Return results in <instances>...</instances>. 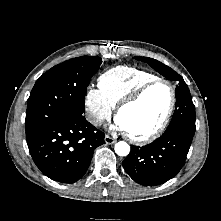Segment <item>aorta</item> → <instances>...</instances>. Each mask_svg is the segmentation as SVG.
I'll return each mask as SVG.
<instances>
[{"label": "aorta", "instance_id": "obj_1", "mask_svg": "<svg viewBox=\"0 0 221 221\" xmlns=\"http://www.w3.org/2000/svg\"><path fill=\"white\" fill-rule=\"evenodd\" d=\"M114 149L119 156H127L130 152V146L124 141L116 143Z\"/></svg>", "mask_w": 221, "mask_h": 221}]
</instances>
